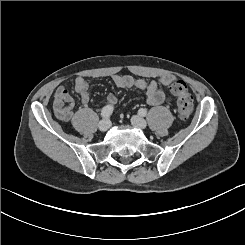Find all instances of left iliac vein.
<instances>
[{
  "label": "left iliac vein",
  "mask_w": 245,
  "mask_h": 245,
  "mask_svg": "<svg viewBox=\"0 0 245 245\" xmlns=\"http://www.w3.org/2000/svg\"><path fill=\"white\" fill-rule=\"evenodd\" d=\"M131 122L135 127L139 128V129H145L147 126L146 121L142 117H140L139 115L132 116Z\"/></svg>",
  "instance_id": "left-iliac-vein-1"
}]
</instances>
